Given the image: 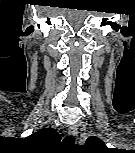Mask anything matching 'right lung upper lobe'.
I'll list each match as a JSON object with an SVG mask.
<instances>
[{
	"mask_svg": "<svg viewBox=\"0 0 135 153\" xmlns=\"http://www.w3.org/2000/svg\"><path fill=\"white\" fill-rule=\"evenodd\" d=\"M36 144H48L60 141V135L53 128H42L26 138Z\"/></svg>",
	"mask_w": 135,
	"mask_h": 153,
	"instance_id": "cb5924a9",
	"label": "right lung upper lobe"
}]
</instances>
